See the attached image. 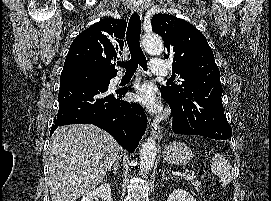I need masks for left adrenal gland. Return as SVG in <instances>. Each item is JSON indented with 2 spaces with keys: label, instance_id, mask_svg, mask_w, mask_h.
<instances>
[{
  "label": "left adrenal gland",
  "instance_id": "a2214340",
  "mask_svg": "<svg viewBox=\"0 0 271 201\" xmlns=\"http://www.w3.org/2000/svg\"><path fill=\"white\" fill-rule=\"evenodd\" d=\"M169 177H166L165 170H162V180H168Z\"/></svg>",
  "mask_w": 271,
  "mask_h": 201
}]
</instances>
